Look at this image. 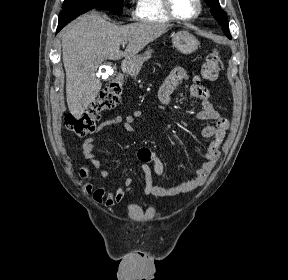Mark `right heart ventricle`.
I'll return each mask as SVG.
<instances>
[{
  "mask_svg": "<svg viewBox=\"0 0 288 280\" xmlns=\"http://www.w3.org/2000/svg\"><path fill=\"white\" fill-rule=\"evenodd\" d=\"M135 17L143 22L167 23L172 20L165 12L162 0H137Z\"/></svg>",
  "mask_w": 288,
  "mask_h": 280,
  "instance_id": "1",
  "label": "right heart ventricle"
}]
</instances>
